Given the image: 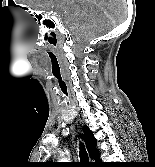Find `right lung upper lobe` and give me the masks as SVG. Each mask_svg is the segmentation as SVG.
<instances>
[{
  "label": "right lung upper lobe",
  "instance_id": "1",
  "mask_svg": "<svg viewBox=\"0 0 155 167\" xmlns=\"http://www.w3.org/2000/svg\"><path fill=\"white\" fill-rule=\"evenodd\" d=\"M83 139L86 143L90 158H94L95 162L90 163L92 167H99L102 163L99 161V151L96 149L97 140L94 137L93 132L87 125L83 127ZM46 167H56V163L48 162L45 164Z\"/></svg>",
  "mask_w": 155,
  "mask_h": 167
}]
</instances>
